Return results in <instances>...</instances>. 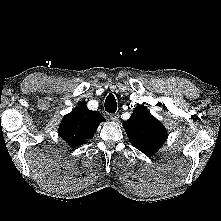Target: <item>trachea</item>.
I'll return each instance as SVG.
<instances>
[{
	"label": "trachea",
	"mask_w": 221,
	"mask_h": 221,
	"mask_svg": "<svg viewBox=\"0 0 221 221\" xmlns=\"http://www.w3.org/2000/svg\"><path fill=\"white\" fill-rule=\"evenodd\" d=\"M105 110L109 113H115L117 110L116 99L113 94H109L105 100Z\"/></svg>",
	"instance_id": "1"
}]
</instances>
